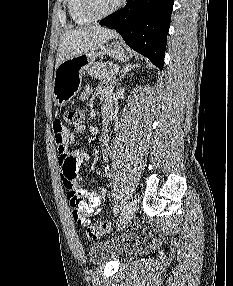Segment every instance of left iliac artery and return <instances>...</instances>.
<instances>
[{
	"label": "left iliac artery",
	"instance_id": "1",
	"mask_svg": "<svg viewBox=\"0 0 233 286\" xmlns=\"http://www.w3.org/2000/svg\"><path fill=\"white\" fill-rule=\"evenodd\" d=\"M114 215L116 216L119 213V205H115L114 210H113Z\"/></svg>",
	"mask_w": 233,
	"mask_h": 286
}]
</instances>
